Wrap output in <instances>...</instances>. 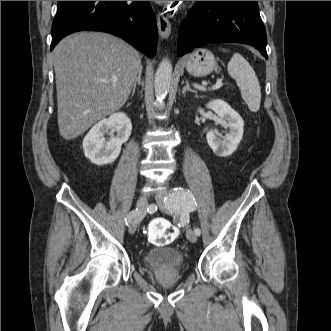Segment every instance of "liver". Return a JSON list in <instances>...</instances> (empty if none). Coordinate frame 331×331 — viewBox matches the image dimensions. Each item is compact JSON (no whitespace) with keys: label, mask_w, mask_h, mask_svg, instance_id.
Listing matches in <instances>:
<instances>
[{"label":"liver","mask_w":331,"mask_h":331,"mask_svg":"<svg viewBox=\"0 0 331 331\" xmlns=\"http://www.w3.org/2000/svg\"><path fill=\"white\" fill-rule=\"evenodd\" d=\"M58 127L74 139L118 111L142 71L139 52L102 32H77L54 48Z\"/></svg>","instance_id":"1"}]
</instances>
